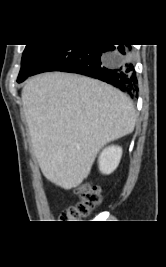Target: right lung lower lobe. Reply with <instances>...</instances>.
Returning a JSON list of instances; mask_svg holds the SVG:
<instances>
[{"instance_id": "1", "label": "right lung lower lobe", "mask_w": 166, "mask_h": 267, "mask_svg": "<svg viewBox=\"0 0 166 267\" xmlns=\"http://www.w3.org/2000/svg\"><path fill=\"white\" fill-rule=\"evenodd\" d=\"M73 72L102 80L138 96V80L128 45H55L30 76L48 72Z\"/></svg>"}]
</instances>
